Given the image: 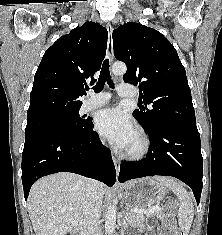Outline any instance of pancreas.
<instances>
[{
  "label": "pancreas",
  "instance_id": "pancreas-1",
  "mask_svg": "<svg viewBox=\"0 0 222 235\" xmlns=\"http://www.w3.org/2000/svg\"><path fill=\"white\" fill-rule=\"evenodd\" d=\"M154 216H156L157 218L159 219H163L164 218V213L162 211L161 208H159L158 210H156L154 213H153ZM140 218L139 214H136V213H132V212H129L127 214V220L130 222V223H135L138 219Z\"/></svg>",
  "mask_w": 222,
  "mask_h": 235
}]
</instances>
